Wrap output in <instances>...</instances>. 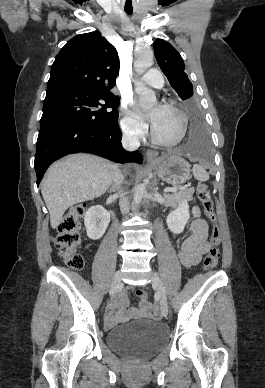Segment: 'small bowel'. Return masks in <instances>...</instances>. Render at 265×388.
Returning <instances> with one entry per match:
<instances>
[{"label": "small bowel", "mask_w": 265, "mask_h": 388, "mask_svg": "<svg viewBox=\"0 0 265 388\" xmlns=\"http://www.w3.org/2000/svg\"><path fill=\"white\" fill-rule=\"evenodd\" d=\"M193 219L189 224L190 235L186 237L179 247V259L183 266L189 268L200 263L202 256L210 249L207 242V224L201 217L200 209L194 207L192 210ZM129 303L128 289L122 290L114 300H112L105 312V323L107 327H112L117 323L126 320L124 309ZM150 308L144 304L142 312L149 313ZM136 315L135 312L132 313Z\"/></svg>", "instance_id": "1"}]
</instances>
